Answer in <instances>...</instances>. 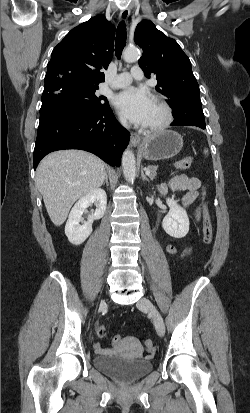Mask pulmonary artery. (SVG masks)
Masks as SVG:
<instances>
[{
    "label": "pulmonary artery",
    "mask_w": 250,
    "mask_h": 413,
    "mask_svg": "<svg viewBox=\"0 0 250 413\" xmlns=\"http://www.w3.org/2000/svg\"><path fill=\"white\" fill-rule=\"evenodd\" d=\"M142 76V70L138 66H135L131 69L130 72H123L118 74L112 83V87H126L132 82L133 79H142Z\"/></svg>",
    "instance_id": "obj_1"
}]
</instances>
